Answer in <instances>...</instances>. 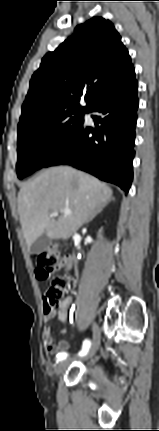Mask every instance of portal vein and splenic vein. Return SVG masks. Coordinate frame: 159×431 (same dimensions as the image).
<instances>
[{"instance_id": "obj_1", "label": "portal vein and splenic vein", "mask_w": 159, "mask_h": 431, "mask_svg": "<svg viewBox=\"0 0 159 431\" xmlns=\"http://www.w3.org/2000/svg\"><path fill=\"white\" fill-rule=\"evenodd\" d=\"M63 212H64V214H65V215H68V214H70V213H71V211H70L69 209H65V210H63ZM51 216H52V217H57V216H58V212H56V211H55V212H52V213H51Z\"/></svg>"}]
</instances>
